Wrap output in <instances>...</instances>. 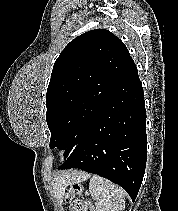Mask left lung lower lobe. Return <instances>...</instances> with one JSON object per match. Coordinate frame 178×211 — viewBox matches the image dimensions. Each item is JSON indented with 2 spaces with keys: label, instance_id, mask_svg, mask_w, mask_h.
Segmentation results:
<instances>
[{
  "label": "left lung lower lobe",
  "instance_id": "left-lung-lower-lobe-1",
  "mask_svg": "<svg viewBox=\"0 0 178 211\" xmlns=\"http://www.w3.org/2000/svg\"><path fill=\"white\" fill-rule=\"evenodd\" d=\"M147 152L144 93L133 60L122 73L100 117L58 169L79 168L122 186L134 201Z\"/></svg>",
  "mask_w": 178,
  "mask_h": 211
}]
</instances>
